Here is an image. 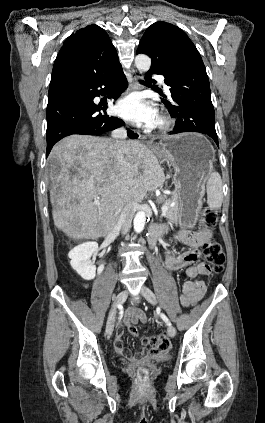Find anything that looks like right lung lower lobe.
Masks as SVG:
<instances>
[{"mask_svg":"<svg viewBox=\"0 0 265 423\" xmlns=\"http://www.w3.org/2000/svg\"><path fill=\"white\" fill-rule=\"evenodd\" d=\"M127 86V79L121 68L106 76L88 77L50 87L46 157L53 145L66 136L99 135L124 125L119 118L106 114L107 105H96L93 99L102 94L103 90L109 89H113L109 97L116 99ZM101 110L104 113H101ZM128 136L132 139L138 138L131 130H128Z\"/></svg>","mask_w":265,"mask_h":423,"instance_id":"1","label":"right lung lower lobe"}]
</instances>
